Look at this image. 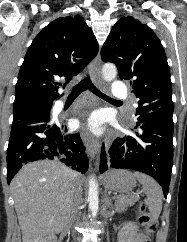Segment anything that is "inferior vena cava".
Segmentation results:
<instances>
[{"mask_svg": "<svg viewBox=\"0 0 187 242\" xmlns=\"http://www.w3.org/2000/svg\"><path fill=\"white\" fill-rule=\"evenodd\" d=\"M77 173L72 175V184H71V215L69 223L72 225L77 221L78 209L82 204V188L79 183L75 180Z\"/></svg>", "mask_w": 187, "mask_h": 242, "instance_id": "602c4592", "label": "inferior vena cava"}]
</instances>
